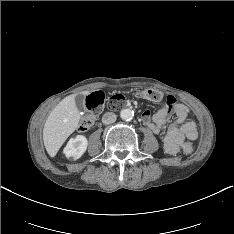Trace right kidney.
<instances>
[{
  "mask_svg": "<svg viewBox=\"0 0 234 234\" xmlns=\"http://www.w3.org/2000/svg\"><path fill=\"white\" fill-rule=\"evenodd\" d=\"M88 140L83 135H77L75 138H71L66 147L64 148V154L67 158L79 159L86 151Z\"/></svg>",
  "mask_w": 234,
  "mask_h": 234,
  "instance_id": "ca27d5eb",
  "label": "right kidney"
}]
</instances>
